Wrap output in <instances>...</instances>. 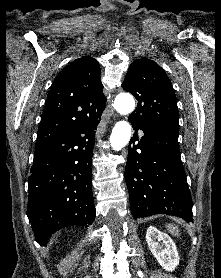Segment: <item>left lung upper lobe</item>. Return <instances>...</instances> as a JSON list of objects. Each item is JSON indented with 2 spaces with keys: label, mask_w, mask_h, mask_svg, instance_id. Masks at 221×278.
I'll return each mask as SVG.
<instances>
[{
  "label": "left lung upper lobe",
  "mask_w": 221,
  "mask_h": 278,
  "mask_svg": "<svg viewBox=\"0 0 221 278\" xmlns=\"http://www.w3.org/2000/svg\"><path fill=\"white\" fill-rule=\"evenodd\" d=\"M122 88L138 101L129 116L134 122L149 130L179 131L176 96L171 81L157 63L148 58L134 61Z\"/></svg>",
  "instance_id": "1"
}]
</instances>
